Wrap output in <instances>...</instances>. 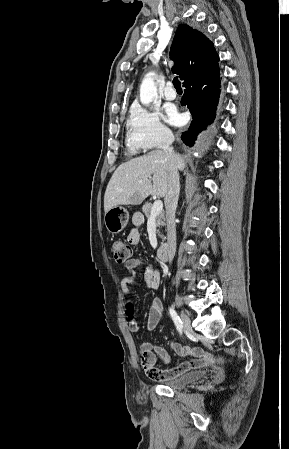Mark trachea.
<instances>
[{"label": "trachea", "instance_id": "trachea-1", "mask_svg": "<svg viewBox=\"0 0 289 449\" xmlns=\"http://www.w3.org/2000/svg\"><path fill=\"white\" fill-rule=\"evenodd\" d=\"M173 84L176 89H181V82L179 81L177 76L173 79Z\"/></svg>", "mask_w": 289, "mask_h": 449}]
</instances>
